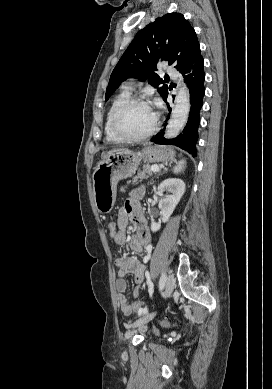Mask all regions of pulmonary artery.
I'll return each instance as SVG.
<instances>
[{
	"label": "pulmonary artery",
	"instance_id": "e3ab8cb5",
	"mask_svg": "<svg viewBox=\"0 0 272 389\" xmlns=\"http://www.w3.org/2000/svg\"><path fill=\"white\" fill-rule=\"evenodd\" d=\"M166 72H167L168 75H170L173 78L178 77V72L176 71V69L172 65H168L167 66ZM125 88L128 89V90H131L132 86L131 85H127Z\"/></svg>",
	"mask_w": 272,
	"mask_h": 389
}]
</instances>
